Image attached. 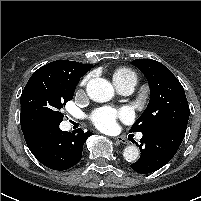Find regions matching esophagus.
Here are the masks:
<instances>
[{
    "label": "esophagus",
    "mask_w": 201,
    "mask_h": 201,
    "mask_svg": "<svg viewBox=\"0 0 201 201\" xmlns=\"http://www.w3.org/2000/svg\"><path fill=\"white\" fill-rule=\"evenodd\" d=\"M114 140L116 142H119V143H122V144H128V141L125 138L121 137V136L114 137Z\"/></svg>",
    "instance_id": "34e87169"
}]
</instances>
